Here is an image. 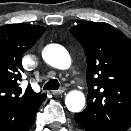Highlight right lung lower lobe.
<instances>
[{
    "instance_id": "98d812e1",
    "label": "right lung lower lobe",
    "mask_w": 131,
    "mask_h": 131,
    "mask_svg": "<svg viewBox=\"0 0 131 131\" xmlns=\"http://www.w3.org/2000/svg\"><path fill=\"white\" fill-rule=\"evenodd\" d=\"M38 108L16 115L14 118H0V131H28L34 123Z\"/></svg>"
}]
</instances>
